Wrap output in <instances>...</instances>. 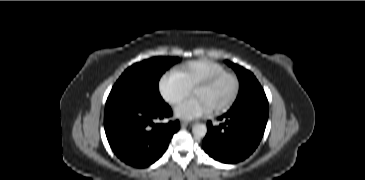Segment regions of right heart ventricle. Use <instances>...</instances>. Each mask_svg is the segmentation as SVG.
Wrapping results in <instances>:
<instances>
[{
    "instance_id": "right-heart-ventricle-1",
    "label": "right heart ventricle",
    "mask_w": 365,
    "mask_h": 180,
    "mask_svg": "<svg viewBox=\"0 0 365 180\" xmlns=\"http://www.w3.org/2000/svg\"><path fill=\"white\" fill-rule=\"evenodd\" d=\"M224 69L217 65H203L193 69V75L195 77L211 76L222 72Z\"/></svg>"
}]
</instances>
